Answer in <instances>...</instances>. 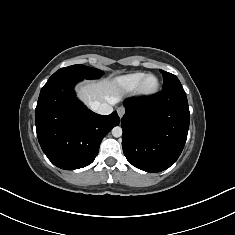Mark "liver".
Masks as SVG:
<instances>
[{
    "label": "liver",
    "instance_id": "liver-1",
    "mask_svg": "<svg viewBox=\"0 0 235 235\" xmlns=\"http://www.w3.org/2000/svg\"><path fill=\"white\" fill-rule=\"evenodd\" d=\"M76 92L79 99L88 106L95 101L115 105L121 99L120 89L114 80L109 79L79 84Z\"/></svg>",
    "mask_w": 235,
    "mask_h": 235
}]
</instances>
